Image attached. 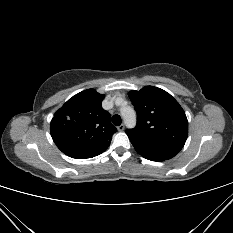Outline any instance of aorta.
Wrapping results in <instances>:
<instances>
[{
    "mask_svg": "<svg viewBox=\"0 0 233 233\" xmlns=\"http://www.w3.org/2000/svg\"><path fill=\"white\" fill-rule=\"evenodd\" d=\"M121 115L128 128H133L136 124L135 110L130 106H124L121 108Z\"/></svg>",
    "mask_w": 233,
    "mask_h": 233,
    "instance_id": "obj_1",
    "label": "aorta"
}]
</instances>
